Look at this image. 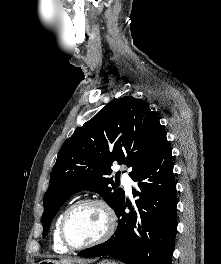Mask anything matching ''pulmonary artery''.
I'll list each match as a JSON object with an SVG mask.
<instances>
[{"label":"pulmonary artery","instance_id":"1","mask_svg":"<svg viewBox=\"0 0 221 264\" xmlns=\"http://www.w3.org/2000/svg\"><path fill=\"white\" fill-rule=\"evenodd\" d=\"M122 183L126 188V191L128 193L131 192V185H132V181L131 178L129 177V175L127 173H123L122 174Z\"/></svg>","mask_w":221,"mask_h":264}]
</instances>
